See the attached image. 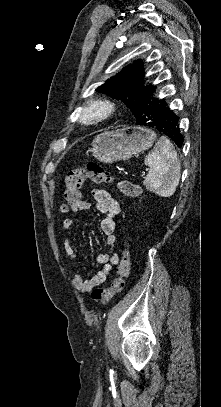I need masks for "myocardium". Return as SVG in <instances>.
I'll return each instance as SVG.
<instances>
[{
    "mask_svg": "<svg viewBox=\"0 0 221 407\" xmlns=\"http://www.w3.org/2000/svg\"><path fill=\"white\" fill-rule=\"evenodd\" d=\"M115 110V102L106 97L93 98L77 111V121L82 125H94L107 119Z\"/></svg>",
    "mask_w": 221,
    "mask_h": 407,
    "instance_id": "myocardium-1",
    "label": "myocardium"
}]
</instances>
